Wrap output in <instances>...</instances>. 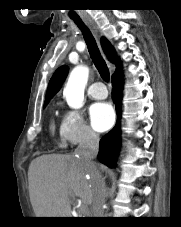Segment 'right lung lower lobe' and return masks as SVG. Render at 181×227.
Segmentation results:
<instances>
[{
    "mask_svg": "<svg viewBox=\"0 0 181 227\" xmlns=\"http://www.w3.org/2000/svg\"><path fill=\"white\" fill-rule=\"evenodd\" d=\"M112 98L116 105L117 122L114 128L108 132L101 140L99 145L98 159L108 165L114 167L116 155L120 147V117H121V100H122V73L119 67L112 75Z\"/></svg>",
    "mask_w": 181,
    "mask_h": 227,
    "instance_id": "1",
    "label": "right lung lower lobe"
}]
</instances>
